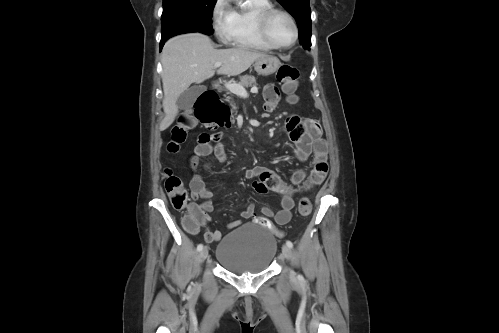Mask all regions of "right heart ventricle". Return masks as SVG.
<instances>
[{
    "instance_id": "obj_1",
    "label": "right heart ventricle",
    "mask_w": 499,
    "mask_h": 333,
    "mask_svg": "<svg viewBox=\"0 0 499 333\" xmlns=\"http://www.w3.org/2000/svg\"><path fill=\"white\" fill-rule=\"evenodd\" d=\"M248 8L233 9L234 24L231 35V44L238 48L270 51L274 49L261 36L257 17L261 11L271 7L270 0H249Z\"/></svg>"
}]
</instances>
